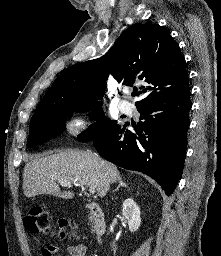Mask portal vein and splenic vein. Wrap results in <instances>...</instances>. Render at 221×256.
Masks as SVG:
<instances>
[{"mask_svg":"<svg viewBox=\"0 0 221 256\" xmlns=\"http://www.w3.org/2000/svg\"><path fill=\"white\" fill-rule=\"evenodd\" d=\"M59 183L62 185V186H70L72 184V182H69V181H59ZM95 188L94 187H89V192L94 194L95 193Z\"/></svg>","mask_w":221,"mask_h":256,"instance_id":"18ae733b","label":"portal vein and splenic vein"}]
</instances>
